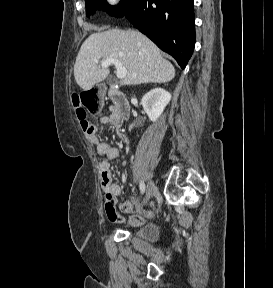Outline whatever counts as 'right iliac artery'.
<instances>
[{
    "instance_id": "right-iliac-artery-1",
    "label": "right iliac artery",
    "mask_w": 273,
    "mask_h": 288,
    "mask_svg": "<svg viewBox=\"0 0 273 288\" xmlns=\"http://www.w3.org/2000/svg\"><path fill=\"white\" fill-rule=\"evenodd\" d=\"M139 187H140L141 193H144L145 192V184L143 181L140 182Z\"/></svg>"
}]
</instances>
